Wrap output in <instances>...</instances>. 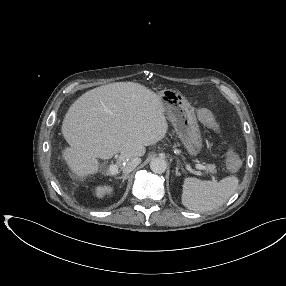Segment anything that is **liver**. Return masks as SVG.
<instances>
[{"label": "liver", "instance_id": "1", "mask_svg": "<svg viewBox=\"0 0 286 286\" xmlns=\"http://www.w3.org/2000/svg\"><path fill=\"white\" fill-rule=\"evenodd\" d=\"M168 124L158 94L135 82H114L82 94L62 122L70 145L62 158L73 174L87 177L98 172L97 158L120 153L117 167L126 159L141 157L167 133Z\"/></svg>", "mask_w": 286, "mask_h": 286}]
</instances>
